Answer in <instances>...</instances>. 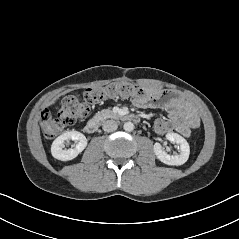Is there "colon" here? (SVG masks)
<instances>
[{
	"label": "colon",
	"mask_w": 239,
	"mask_h": 239,
	"mask_svg": "<svg viewBox=\"0 0 239 239\" xmlns=\"http://www.w3.org/2000/svg\"><path fill=\"white\" fill-rule=\"evenodd\" d=\"M145 94L144 88L129 82H118L87 89L84 92L83 100L75 93L69 94L63 99L56 118H52L48 111L41 113L44 135L48 139L56 137L69 126L87 117L91 105L117 96L142 97ZM171 129L170 123L163 118L156 119L152 125L153 132L162 137L168 135Z\"/></svg>",
	"instance_id": "5ec220e1"
}]
</instances>
